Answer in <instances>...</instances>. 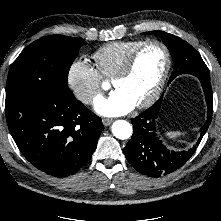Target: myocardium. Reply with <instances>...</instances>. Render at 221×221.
Instances as JSON below:
<instances>
[{"label":"myocardium","mask_w":221,"mask_h":221,"mask_svg":"<svg viewBox=\"0 0 221 221\" xmlns=\"http://www.w3.org/2000/svg\"><path fill=\"white\" fill-rule=\"evenodd\" d=\"M152 45H157L161 47L162 50L164 51L165 66H164L161 78L156 88L145 100H143L142 102L136 105L137 108H145V107L152 105L160 97V95L162 94L164 90V87L166 85V82L168 80L169 73L171 70V65H172L171 53L167 45L164 42L159 41V40L145 41L143 44L138 46L133 52H131V54L124 61L121 68L117 71V73L113 77V82H114V81L124 79L127 76H129L141 52L145 50L147 47L152 46Z\"/></svg>","instance_id":"f54148a6"}]
</instances>
